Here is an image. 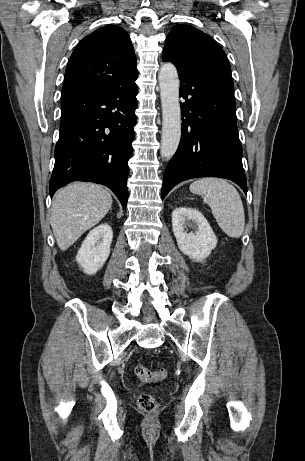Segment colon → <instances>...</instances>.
<instances>
[{
	"label": "colon",
	"instance_id": "5ec220e1",
	"mask_svg": "<svg viewBox=\"0 0 305 461\" xmlns=\"http://www.w3.org/2000/svg\"><path fill=\"white\" fill-rule=\"evenodd\" d=\"M135 374L143 381L153 382L165 378L168 372L165 368L151 370L145 366L138 365L135 367ZM137 406L140 410L151 413L157 409L158 404L153 395L149 393H142L137 399Z\"/></svg>",
	"mask_w": 305,
	"mask_h": 461
}]
</instances>
